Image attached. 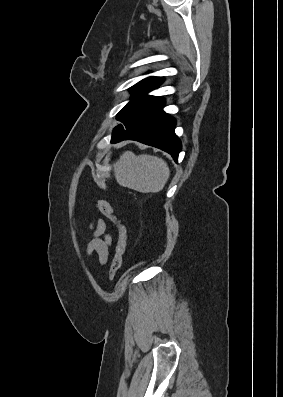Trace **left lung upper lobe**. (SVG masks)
<instances>
[{"mask_svg": "<svg viewBox=\"0 0 283 397\" xmlns=\"http://www.w3.org/2000/svg\"><path fill=\"white\" fill-rule=\"evenodd\" d=\"M163 79L161 77H148L131 87V101L117 114L116 119L122 122L113 130V136L122 134L137 119L164 101L161 97L150 96L147 93L157 88Z\"/></svg>", "mask_w": 283, "mask_h": 397, "instance_id": "obj_1", "label": "left lung upper lobe"}]
</instances>
